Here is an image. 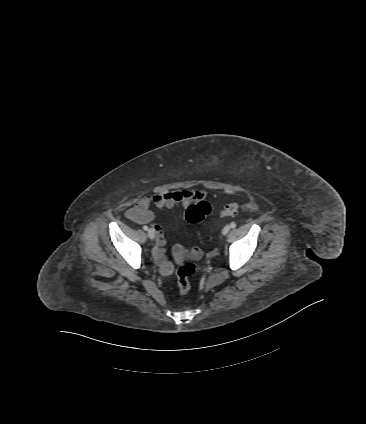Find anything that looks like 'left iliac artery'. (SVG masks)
<instances>
[{
  "label": "left iliac artery",
  "mask_w": 366,
  "mask_h": 424,
  "mask_svg": "<svg viewBox=\"0 0 366 424\" xmlns=\"http://www.w3.org/2000/svg\"><path fill=\"white\" fill-rule=\"evenodd\" d=\"M230 227H231V228H235V227H236V223H235V222H232V223L230 224Z\"/></svg>",
  "instance_id": "obj_1"
}]
</instances>
